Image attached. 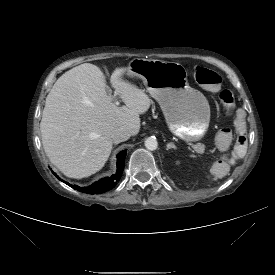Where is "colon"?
Returning a JSON list of instances; mask_svg holds the SVG:
<instances>
[{
	"label": "colon",
	"instance_id": "colon-1",
	"mask_svg": "<svg viewBox=\"0 0 275 275\" xmlns=\"http://www.w3.org/2000/svg\"><path fill=\"white\" fill-rule=\"evenodd\" d=\"M195 81L210 91L219 89L222 79L218 73L203 67H197L194 71ZM219 99L224 111L231 109L233 105V95L229 90H222L219 93ZM247 145V137L244 132L238 133L235 139L234 153L242 156Z\"/></svg>",
	"mask_w": 275,
	"mask_h": 275
}]
</instances>
